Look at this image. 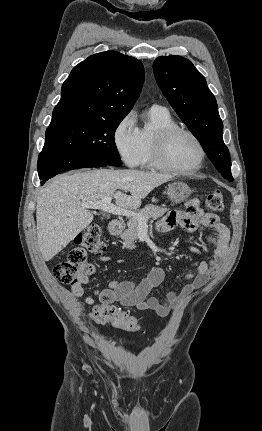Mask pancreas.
Returning a JSON list of instances; mask_svg holds the SVG:
<instances>
[{"mask_svg": "<svg viewBox=\"0 0 262 431\" xmlns=\"http://www.w3.org/2000/svg\"><path fill=\"white\" fill-rule=\"evenodd\" d=\"M167 212L166 208H161L159 206L149 204L145 206L142 210H140L139 214L142 216L146 222L149 219H158L164 215V213ZM128 229L124 230L120 237L123 240V247L128 249L135 248L134 241L138 238V232H139V223L136 218H130L127 221Z\"/></svg>", "mask_w": 262, "mask_h": 431, "instance_id": "obj_1", "label": "pancreas"}]
</instances>
